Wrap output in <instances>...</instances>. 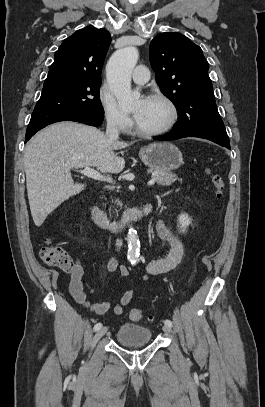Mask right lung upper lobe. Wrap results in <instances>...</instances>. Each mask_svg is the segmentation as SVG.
I'll use <instances>...</instances> for the list:
<instances>
[{
	"mask_svg": "<svg viewBox=\"0 0 265 407\" xmlns=\"http://www.w3.org/2000/svg\"><path fill=\"white\" fill-rule=\"evenodd\" d=\"M111 42L105 29L88 26L65 39L54 55L48 77L67 75L101 80L102 65Z\"/></svg>",
	"mask_w": 265,
	"mask_h": 407,
	"instance_id": "1",
	"label": "right lung upper lobe"
}]
</instances>
